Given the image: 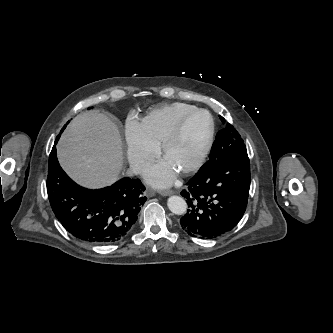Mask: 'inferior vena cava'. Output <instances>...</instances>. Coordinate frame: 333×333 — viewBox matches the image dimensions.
Masks as SVG:
<instances>
[{
	"label": "inferior vena cava",
	"mask_w": 333,
	"mask_h": 333,
	"mask_svg": "<svg viewBox=\"0 0 333 333\" xmlns=\"http://www.w3.org/2000/svg\"><path fill=\"white\" fill-rule=\"evenodd\" d=\"M129 167L130 168H129L128 174H130V175H132V174H135V175L141 174L145 169L144 164L139 163V162H131Z\"/></svg>",
	"instance_id": "obj_1"
}]
</instances>
